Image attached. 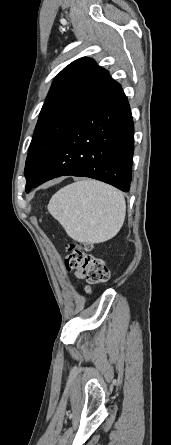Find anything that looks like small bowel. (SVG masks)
<instances>
[{
  "instance_id": "small-bowel-1",
  "label": "small bowel",
  "mask_w": 171,
  "mask_h": 445,
  "mask_svg": "<svg viewBox=\"0 0 171 445\" xmlns=\"http://www.w3.org/2000/svg\"><path fill=\"white\" fill-rule=\"evenodd\" d=\"M75 276H76L78 279H82V278H83V274H81V273H79V272L75 273Z\"/></svg>"
}]
</instances>
